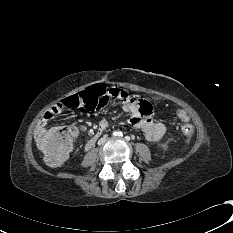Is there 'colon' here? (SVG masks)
<instances>
[{
  "label": "colon",
  "mask_w": 233,
  "mask_h": 233,
  "mask_svg": "<svg viewBox=\"0 0 233 233\" xmlns=\"http://www.w3.org/2000/svg\"><path fill=\"white\" fill-rule=\"evenodd\" d=\"M108 90L101 84H95L76 95L64 99V106L68 109L95 110L96 103ZM173 113L182 122V134L185 137L192 136L194 127L190 123V116L186 113L185 108L176 107ZM76 137L77 131L75 127L67 126L65 128H51L38 131L36 142L46 161L56 166L63 164L67 160L74 149Z\"/></svg>",
  "instance_id": "1"
}]
</instances>
